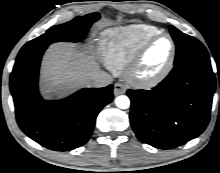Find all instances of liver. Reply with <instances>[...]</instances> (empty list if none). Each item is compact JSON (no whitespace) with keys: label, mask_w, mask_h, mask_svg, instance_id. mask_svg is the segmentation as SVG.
<instances>
[{"label":"liver","mask_w":220,"mask_h":173,"mask_svg":"<svg viewBox=\"0 0 220 173\" xmlns=\"http://www.w3.org/2000/svg\"><path fill=\"white\" fill-rule=\"evenodd\" d=\"M99 72L94 56L71 43L58 42L49 46L41 64L42 94L64 97L82 87Z\"/></svg>","instance_id":"liver-1"}]
</instances>
